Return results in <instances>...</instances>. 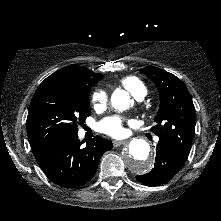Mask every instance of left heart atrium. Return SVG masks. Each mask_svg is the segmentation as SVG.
I'll return each instance as SVG.
<instances>
[{"instance_id": "obj_1", "label": "left heart atrium", "mask_w": 221, "mask_h": 221, "mask_svg": "<svg viewBox=\"0 0 221 221\" xmlns=\"http://www.w3.org/2000/svg\"><path fill=\"white\" fill-rule=\"evenodd\" d=\"M101 132L115 138L125 134L124 120L118 116H111L103 119L99 126Z\"/></svg>"}]
</instances>
